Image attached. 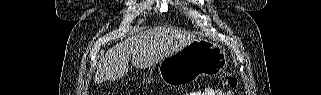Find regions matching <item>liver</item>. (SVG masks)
I'll use <instances>...</instances> for the list:
<instances>
[{
  "mask_svg": "<svg viewBox=\"0 0 321 95\" xmlns=\"http://www.w3.org/2000/svg\"><path fill=\"white\" fill-rule=\"evenodd\" d=\"M197 39L191 32L173 28L146 30L110 48L97 67L94 82L100 84L123 77L131 56L134 67L148 68Z\"/></svg>",
  "mask_w": 321,
  "mask_h": 95,
  "instance_id": "6515ba94",
  "label": "liver"
}]
</instances>
